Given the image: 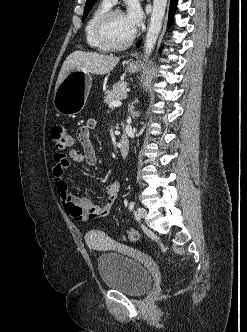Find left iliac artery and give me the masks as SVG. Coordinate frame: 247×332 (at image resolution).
Here are the masks:
<instances>
[{
  "label": "left iliac artery",
  "instance_id": "44dca946",
  "mask_svg": "<svg viewBox=\"0 0 247 332\" xmlns=\"http://www.w3.org/2000/svg\"><path fill=\"white\" fill-rule=\"evenodd\" d=\"M135 207V202L134 201H131L130 204H129V209L132 211Z\"/></svg>",
  "mask_w": 247,
  "mask_h": 332
}]
</instances>
